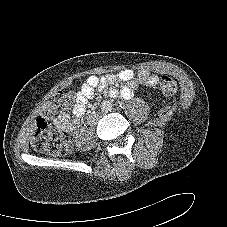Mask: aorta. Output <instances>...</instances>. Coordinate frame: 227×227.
I'll use <instances>...</instances> for the list:
<instances>
[{
    "instance_id": "aorta-1",
    "label": "aorta",
    "mask_w": 227,
    "mask_h": 227,
    "mask_svg": "<svg viewBox=\"0 0 227 227\" xmlns=\"http://www.w3.org/2000/svg\"><path fill=\"white\" fill-rule=\"evenodd\" d=\"M108 102H109V101H108ZM111 108H112V104H111L110 102L107 103L105 106L101 107L102 111H104V112L110 111Z\"/></svg>"
}]
</instances>
